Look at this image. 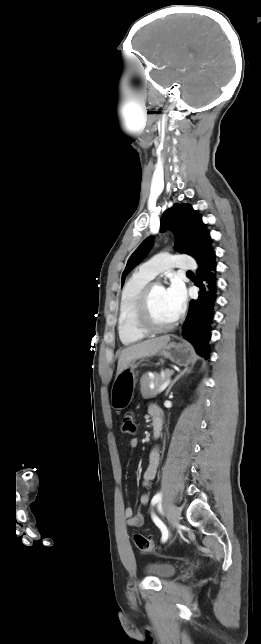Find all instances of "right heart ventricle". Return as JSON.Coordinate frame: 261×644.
I'll return each instance as SVG.
<instances>
[{
	"mask_svg": "<svg viewBox=\"0 0 261 644\" xmlns=\"http://www.w3.org/2000/svg\"><path fill=\"white\" fill-rule=\"evenodd\" d=\"M150 277L135 272L125 283L119 304L117 330L120 341L124 345H132L146 337V333L139 330L135 324V309L142 289L149 283Z\"/></svg>",
	"mask_w": 261,
	"mask_h": 644,
	"instance_id": "1",
	"label": "right heart ventricle"
}]
</instances>
